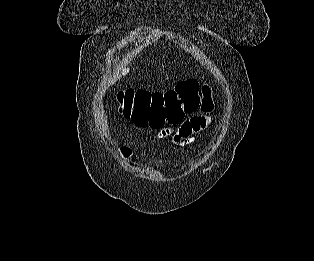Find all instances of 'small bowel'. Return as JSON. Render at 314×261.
Segmentation results:
<instances>
[{
    "instance_id": "small-bowel-1",
    "label": "small bowel",
    "mask_w": 314,
    "mask_h": 261,
    "mask_svg": "<svg viewBox=\"0 0 314 261\" xmlns=\"http://www.w3.org/2000/svg\"><path fill=\"white\" fill-rule=\"evenodd\" d=\"M210 119L205 116H195L190 120L185 121H171L170 124H166L165 129H162L161 134L166 140H173L174 144H178L179 140H187V136H190L193 132H198L209 125ZM181 126V127H178ZM178 128V129H177ZM174 131V132H173ZM191 131V133H190ZM152 139H160V134H152ZM178 150L182 149L181 145L177 146Z\"/></svg>"
}]
</instances>
